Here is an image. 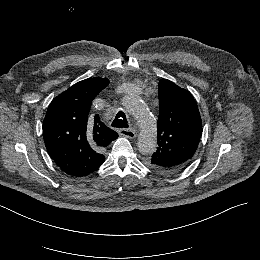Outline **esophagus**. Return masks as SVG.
Returning a JSON list of instances; mask_svg holds the SVG:
<instances>
[{
  "label": "esophagus",
  "mask_w": 260,
  "mask_h": 260,
  "mask_svg": "<svg viewBox=\"0 0 260 260\" xmlns=\"http://www.w3.org/2000/svg\"><path fill=\"white\" fill-rule=\"evenodd\" d=\"M119 134L127 138H135L136 133L133 129H120Z\"/></svg>",
  "instance_id": "obj_1"
}]
</instances>
